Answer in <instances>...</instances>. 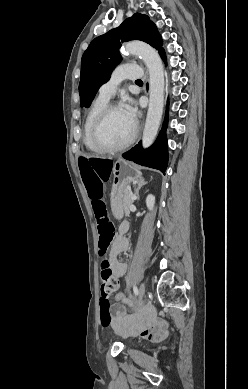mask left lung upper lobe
Segmentation results:
<instances>
[{"label": "left lung upper lobe", "instance_id": "1", "mask_svg": "<svg viewBox=\"0 0 248 389\" xmlns=\"http://www.w3.org/2000/svg\"><path fill=\"white\" fill-rule=\"evenodd\" d=\"M141 40L161 51L163 41L156 25L148 16L135 13L118 28L95 38L81 60L79 84L80 106L89 107L99 87L110 78L114 67L120 62L121 42Z\"/></svg>", "mask_w": 248, "mask_h": 389}]
</instances>
